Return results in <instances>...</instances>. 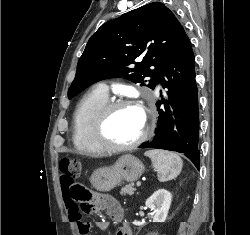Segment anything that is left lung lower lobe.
<instances>
[{
  "instance_id": "1",
  "label": "left lung lower lobe",
  "mask_w": 250,
  "mask_h": 235,
  "mask_svg": "<svg viewBox=\"0 0 250 235\" xmlns=\"http://www.w3.org/2000/svg\"><path fill=\"white\" fill-rule=\"evenodd\" d=\"M194 53L184 29L164 62L156 81L166 88L162 98L154 138L142 148H158L183 153L199 169V108ZM160 106V103H157Z\"/></svg>"
}]
</instances>
